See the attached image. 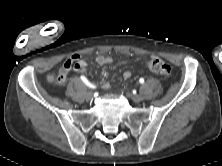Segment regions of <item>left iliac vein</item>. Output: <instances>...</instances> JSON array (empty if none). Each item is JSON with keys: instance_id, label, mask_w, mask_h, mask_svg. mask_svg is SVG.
<instances>
[{"instance_id": "4c4485c4", "label": "left iliac vein", "mask_w": 222, "mask_h": 166, "mask_svg": "<svg viewBox=\"0 0 222 166\" xmlns=\"http://www.w3.org/2000/svg\"><path fill=\"white\" fill-rule=\"evenodd\" d=\"M132 100L136 103H139L142 100V97L138 94L132 96Z\"/></svg>"}]
</instances>
